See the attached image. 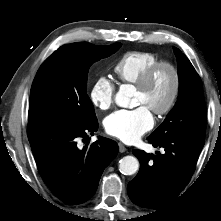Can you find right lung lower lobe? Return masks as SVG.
<instances>
[{"label": "right lung lower lobe", "mask_w": 221, "mask_h": 221, "mask_svg": "<svg viewBox=\"0 0 221 221\" xmlns=\"http://www.w3.org/2000/svg\"><path fill=\"white\" fill-rule=\"evenodd\" d=\"M98 121L88 124L43 119L29 123L28 139L38 170L50 190L68 204H80L96 192L104 168L116 157L115 141L100 137L80 149L79 137L94 134Z\"/></svg>", "instance_id": "98d812e1"}]
</instances>
